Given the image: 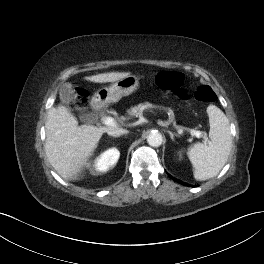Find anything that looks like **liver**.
<instances>
[{
    "instance_id": "6515ba94",
    "label": "liver",
    "mask_w": 264,
    "mask_h": 264,
    "mask_svg": "<svg viewBox=\"0 0 264 264\" xmlns=\"http://www.w3.org/2000/svg\"><path fill=\"white\" fill-rule=\"evenodd\" d=\"M128 75L129 72H110L85 77V80L94 83L115 82ZM45 127L46 155L52 167L66 180L77 179L103 133L118 128L117 125L78 126L75 116L63 105L49 109Z\"/></svg>"
}]
</instances>
